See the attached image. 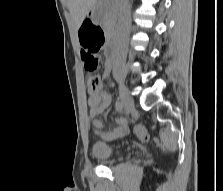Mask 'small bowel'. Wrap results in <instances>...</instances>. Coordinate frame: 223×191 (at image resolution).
I'll return each mask as SVG.
<instances>
[{
  "label": "small bowel",
  "instance_id": "1",
  "mask_svg": "<svg viewBox=\"0 0 223 191\" xmlns=\"http://www.w3.org/2000/svg\"><path fill=\"white\" fill-rule=\"evenodd\" d=\"M94 26H92L93 28ZM97 28V27H94ZM113 69V64L107 59L104 64L103 79H107ZM112 96L105 89L100 88L96 91H92L89 94L88 106L89 117L91 118V125L96 135L103 140H114L127 133V118H118L115 120L117 126L111 130H103L102 123L96 117L102 114L110 105ZM117 109V108H116ZM117 111H119L117 109Z\"/></svg>",
  "mask_w": 223,
  "mask_h": 191
}]
</instances>
